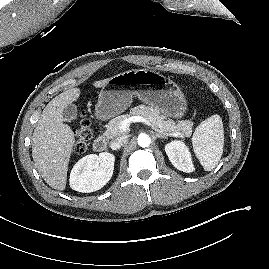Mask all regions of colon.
I'll return each mask as SVG.
<instances>
[{
	"mask_svg": "<svg viewBox=\"0 0 269 269\" xmlns=\"http://www.w3.org/2000/svg\"><path fill=\"white\" fill-rule=\"evenodd\" d=\"M92 133L90 122L86 115L82 114L74 127V150L82 153L86 150L87 144L91 139Z\"/></svg>",
	"mask_w": 269,
	"mask_h": 269,
	"instance_id": "1",
	"label": "colon"
}]
</instances>
